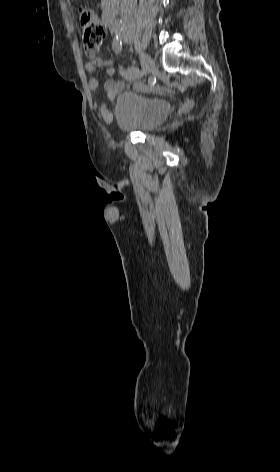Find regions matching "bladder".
<instances>
[{
	"mask_svg": "<svg viewBox=\"0 0 280 472\" xmlns=\"http://www.w3.org/2000/svg\"><path fill=\"white\" fill-rule=\"evenodd\" d=\"M171 112V103L161 97L128 90L115 102L113 114L124 131H149L160 126Z\"/></svg>",
	"mask_w": 280,
	"mask_h": 472,
	"instance_id": "31cf9c89",
	"label": "bladder"
}]
</instances>
